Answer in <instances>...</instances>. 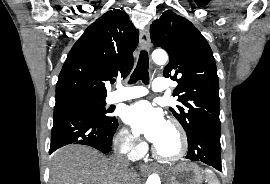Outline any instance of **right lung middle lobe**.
<instances>
[{
    "label": "right lung middle lobe",
    "instance_id": "dd1d6c3e",
    "mask_svg": "<svg viewBox=\"0 0 270 184\" xmlns=\"http://www.w3.org/2000/svg\"><path fill=\"white\" fill-rule=\"evenodd\" d=\"M106 97L83 96V95H66L56 98L54 111L61 109H78L95 120L103 124H111L116 120L115 117L107 115L109 112L105 109Z\"/></svg>",
    "mask_w": 270,
    "mask_h": 184
}]
</instances>
